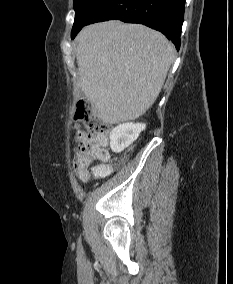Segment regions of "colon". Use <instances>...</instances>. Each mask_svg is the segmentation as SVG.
<instances>
[{
    "mask_svg": "<svg viewBox=\"0 0 233 284\" xmlns=\"http://www.w3.org/2000/svg\"><path fill=\"white\" fill-rule=\"evenodd\" d=\"M75 117L85 127V131H80L75 136V166L88 167L95 161L107 162L109 159L107 136L112 128L111 124L98 117L94 107L83 100L77 103Z\"/></svg>",
    "mask_w": 233,
    "mask_h": 284,
    "instance_id": "colon-1",
    "label": "colon"
}]
</instances>
